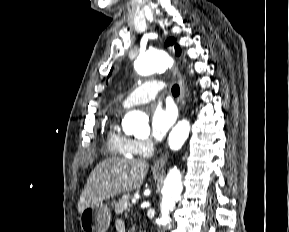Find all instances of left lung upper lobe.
<instances>
[{
	"label": "left lung upper lobe",
	"instance_id": "5c2ea615",
	"mask_svg": "<svg viewBox=\"0 0 289 232\" xmlns=\"http://www.w3.org/2000/svg\"><path fill=\"white\" fill-rule=\"evenodd\" d=\"M175 44V39L174 38H169L166 42H165V46H169V45H174ZM175 50H176V54L180 55L181 50L179 48V46L176 44L175 45ZM111 73H109L110 76Z\"/></svg>",
	"mask_w": 289,
	"mask_h": 232
}]
</instances>
